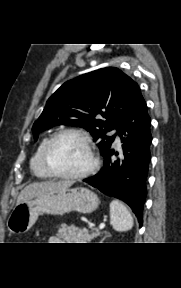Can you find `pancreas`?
Here are the masks:
<instances>
[{
	"mask_svg": "<svg viewBox=\"0 0 181 288\" xmlns=\"http://www.w3.org/2000/svg\"><path fill=\"white\" fill-rule=\"evenodd\" d=\"M56 235L67 243H89L92 239L99 236L100 232L90 233L86 228L66 227L65 224H62Z\"/></svg>",
	"mask_w": 181,
	"mask_h": 288,
	"instance_id": "pancreas-1",
	"label": "pancreas"
}]
</instances>
